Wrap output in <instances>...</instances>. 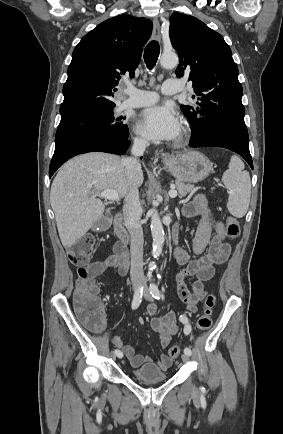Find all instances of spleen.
<instances>
[{"label": "spleen", "instance_id": "obj_1", "mask_svg": "<svg viewBox=\"0 0 283 434\" xmlns=\"http://www.w3.org/2000/svg\"><path fill=\"white\" fill-rule=\"evenodd\" d=\"M244 168L243 161L234 155L222 176V182L229 194L227 209L237 218L246 214L250 202L251 181L249 173Z\"/></svg>", "mask_w": 283, "mask_h": 434}]
</instances>
